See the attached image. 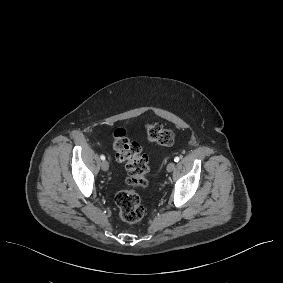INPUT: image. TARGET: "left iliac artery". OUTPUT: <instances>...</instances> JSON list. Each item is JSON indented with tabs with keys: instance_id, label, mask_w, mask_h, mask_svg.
<instances>
[{
	"instance_id": "left-iliac-artery-1",
	"label": "left iliac artery",
	"mask_w": 283,
	"mask_h": 283,
	"mask_svg": "<svg viewBox=\"0 0 283 283\" xmlns=\"http://www.w3.org/2000/svg\"><path fill=\"white\" fill-rule=\"evenodd\" d=\"M179 160H180L179 157H175V158H174V161H175V162H178Z\"/></svg>"
}]
</instances>
